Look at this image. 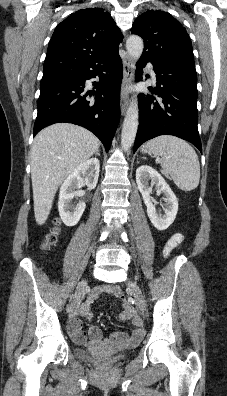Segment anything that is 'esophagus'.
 I'll return each mask as SVG.
<instances>
[{
    "label": "esophagus",
    "mask_w": 227,
    "mask_h": 396,
    "mask_svg": "<svg viewBox=\"0 0 227 396\" xmlns=\"http://www.w3.org/2000/svg\"><path fill=\"white\" fill-rule=\"evenodd\" d=\"M134 78V61L130 56H126L123 62V81L121 90V113L124 115L129 105V95L127 87L132 83Z\"/></svg>",
    "instance_id": "esophagus-1"
}]
</instances>
